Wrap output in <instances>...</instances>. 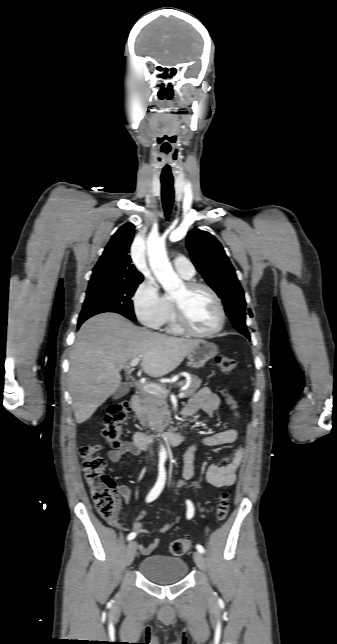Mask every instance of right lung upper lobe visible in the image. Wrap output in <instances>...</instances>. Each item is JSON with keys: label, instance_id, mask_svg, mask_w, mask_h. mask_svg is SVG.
Masks as SVG:
<instances>
[{"label": "right lung upper lobe", "instance_id": "obj_1", "mask_svg": "<svg viewBox=\"0 0 337 644\" xmlns=\"http://www.w3.org/2000/svg\"><path fill=\"white\" fill-rule=\"evenodd\" d=\"M135 226L126 223L112 236L110 242L93 269L89 283L94 282H138L143 275L132 264L130 245L134 236Z\"/></svg>", "mask_w": 337, "mask_h": 644}]
</instances>
